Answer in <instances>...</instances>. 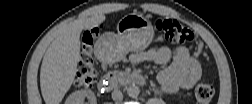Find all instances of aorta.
Here are the masks:
<instances>
[{
	"label": "aorta",
	"mask_w": 252,
	"mask_h": 104,
	"mask_svg": "<svg viewBox=\"0 0 252 104\" xmlns=\"http://www.w3.org/2000/svg\"><path fill=\"white\" fill-rule=\"evenodd\" d=\"M127 95L131 98H137L140 94V89L138 86L136 85H130L127 89H126Z\"/></svg>",
	"instance_id": "1"
}]
</instances>
